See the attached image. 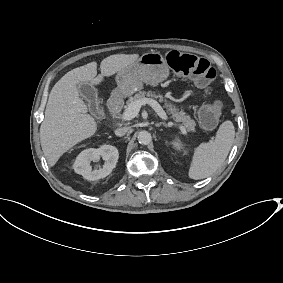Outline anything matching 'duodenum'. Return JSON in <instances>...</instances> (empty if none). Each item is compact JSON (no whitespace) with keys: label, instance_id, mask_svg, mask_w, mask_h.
Instances as JSON below:
<instances>
[{"label":"duodenum","instance_id":"duodenum-1","mask_svg":"<svg viewBox=\"0 0 283 283\" xmlns=\"http://www.w3.org/2000/svg\"><path fill=\"white\" fill-rule=\"evenodd\" d=\"M108 106L115 114H118L123 106L122 97L120 95L112 96L108 102Z\"/></svg>","mask_w":283,"mask_h":283}]
</instances>
